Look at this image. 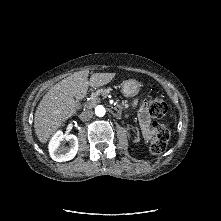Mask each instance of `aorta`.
Listing matches in <instances>:
<instances>
[{"mask_svg":"<svg viewBox=\"0 0 221 221\" xmlns=\"http://www.w3.org/2000/svg\"><path fill=\"white\" fill-rule=\"evenodd\" d=\"M105 108L102 106V105H98L96 108H95V114L98 116V117H103L105 115Z\"/></svg>","mask_w":221,"mask_h":221,"instance_id":"aorta-1","label":"aorta"}]
</instances>
